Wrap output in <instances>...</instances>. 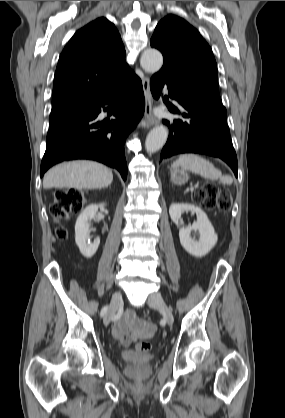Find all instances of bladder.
<instances>
[{
    "label": "bladder",
    "mask_w": 285,
    "mask_h": 418,
    "mask_svg": "<svg viewBox=\"0 0 285 418\" xmlns=\"http://www.w3.org/2000/svg\"><path fill=\"white\" fill-rule=\"evenodd\" d=\"M122 358L130 364H144L152 360L153 356L149 353H139L134 349L122 352Z\"/></svg>",
    "instance_id": "31cf9c89"
}]
</instances>
